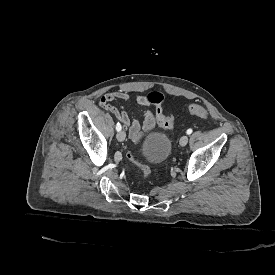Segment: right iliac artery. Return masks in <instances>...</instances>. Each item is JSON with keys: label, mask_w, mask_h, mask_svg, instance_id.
Here are the masks:
<instances>
[{"label": "right iliac artery", "mask_w": 275, "mask_h": 275, "mask_svg": "<svg viewBox=\"0 0 275 275\" xmlns=\"http://www.w3.org/2000/svg\"><path fill=\"white\" fill-rule=\"evenodd\" d=\"M121 128H122V127H121L120 123L118 122L117 125H116V130H117V131H120Z\"/></svg>", "instance_id": "obj_1"}]
</instances>
